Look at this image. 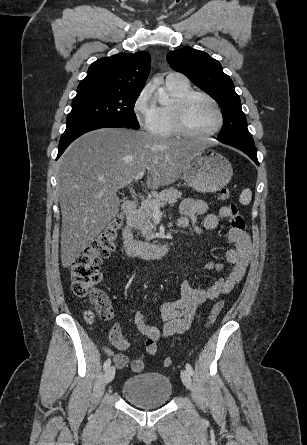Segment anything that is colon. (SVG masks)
<instances>
[{"instance_id": "1", "label": "colon", "mask_w": 307, "mask_h": 445, "mask_svg": "<svg viewBox=\"0 0 307 445\" xmlns=\"http://www.w3.org/2000/svg\"><path fill=\"white\" fill-rule=\"evenodd\" d=\"M229 196L230 192L228 189L220 190V200L225 201L229 199ZM229 209L231 227L244 231L245 221L239 213L238 206L235 203H231ZM121 224V218H115L69 266L73 293L78 297L87 298L89 301L90 309L86 312L87 320L93 319L95 315L106 321L114 318V310L107 295L99 290L97 285L102 280V262L114 251ZM222 308L223 301H218L214 304L207 320V326H210L216 320ZM110 340L115 346H122L125 342L119 327L116 325L110 331ZM172 364L173 360L170 357H166L163 361L165 367H170Z\"/></svg>"}]
</instances>
